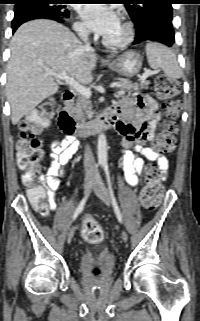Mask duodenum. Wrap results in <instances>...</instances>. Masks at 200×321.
Returning a JSON list of instances; mask_svg holds the SVG:
<instances>
[{"label":"duodenum","instance_id":"410a0bca","mask_svg":"<svg viewBox=\"0 0 200 321\" xmlns=\"http://www.w3.org/2000/svg\"><path fill=\"white\" fill-rule=\"evenodd\" d=\"M61 99L64 107L58 114V123L62 131L68 135H91L116 125L118 113L112 111L111 108L106 114L96 120L85 123H76L68 110L73 103L74 93L67 90L62 94Z\"/></svg>","mask_w":200,"mask_h":321}]
</instances>
